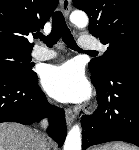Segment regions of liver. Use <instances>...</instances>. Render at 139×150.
<instances>
[{
  "label": "liver",
  "instance_id": "obj_1",
  "mask_svg": "<svg viewBox=\"0 0 139 150\" xmlns=\"http://www.w3.org/2000/svg\"><path fill=\"white\" fill-rule=\"evenodd\" d=\"M0 150H41L39 134L21 124H0Z\"/></svg>",
  "mask_w": 139,
  "mask_h": 150
}]
</instances>
